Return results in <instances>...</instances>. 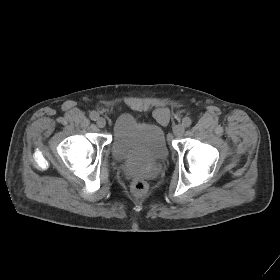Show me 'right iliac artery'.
<instances>
[{"label": "right iliac artery", "instance_id": "right-iliac-artery-1", "mask_svg": "<svg viewBox=\"0 0 280 280\" xmlns=\"http://www.w3.org/2000/svg\"><path fill=\"white\" fill-rule=\"evenodd\" d=\"M90 118H91V120L95 121V120H97L99 118V114L96 111H92L90 113Z\"/></svg>", "mask_w": 280, "mask_h": 280}]
</instances>
